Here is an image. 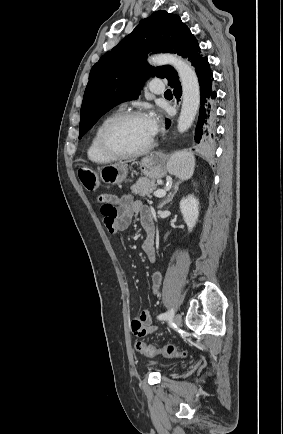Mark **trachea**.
Instances as JSON below:
<instances>
[{"label":"trachea","instance_id":"obj_1","mask_svg":"<svg viewBox=\"0 0 283 434\" xmlns=\"http://www.w3.org/2000/svg\"><path fill=\"white\" fill-rule=\"evenodd\" d=\"M168 94H172V93H171V90H169V89L166 90V92H165V95H168Z\"/></svg>","mask_w":283,"mask_h":434}]
</instances>
